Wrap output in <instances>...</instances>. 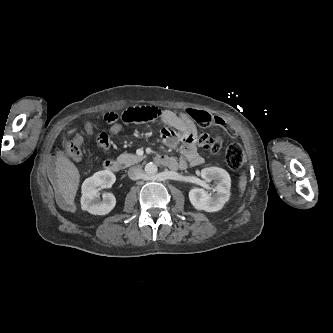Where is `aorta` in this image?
Returning <instances> with one entry per match:
<instances>
[{
	"mask_svg": "<svg viewBox=\"0 0 333 333\" xmlns=\"http://www.w3.org/2000/svg\"><path fill=\"white\" fill-rule=\"evenodd\" d=\"M144 169L145 173L150 176L155 175L158 172L157 166L152 162L147 163Z\"/></svg>",
	"mask_w": 333,
	"mask_h": 333,
	"instance_id": "aorta-1",
	"label": "aorta"
}]
</instances>
